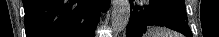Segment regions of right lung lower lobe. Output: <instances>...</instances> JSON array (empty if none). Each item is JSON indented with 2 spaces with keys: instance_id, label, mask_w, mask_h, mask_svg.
Wrapping results in <instances>:
<instances>
[{
  "instance_id": "right-lung-lower-lobe-1",
  "label": "right lung lower lobe",
  "mask_w": 219,
  "mask_h": 37,
  "mask_svg": "<svg viewBox=\"0 0 219 37\" xmlns=\"http://www.w3.org/2000/svg\"><path fill=\"white\" fill-rule=\"evenodd\" d=\"M110 0H23L26 37H94Z\"/></svg>"
}]
</instances>
